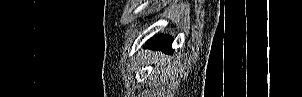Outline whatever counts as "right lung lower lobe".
I'll use <instances>...</instances> for the list:
<instances>
[{"label": "right lung lower lobe", "mask_w": 302, "mask_h": 97, "mask_svg": "<svg viewBox=\"0 0 302 97\" xmlns=\"http://www.w3.org/2000/svg\"><path fill=\"white\" fill-rule=\"evenodd\" d=\"M171 43L172 39L170 36H165V35H158L153 37L151 40H149L145 48H152V49H157V50H162L166 53H172V48H171Z\"/></svg>", "instance_id": "98d812e1"}]
</instances>
